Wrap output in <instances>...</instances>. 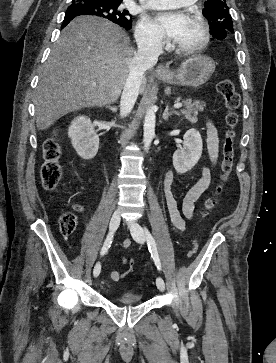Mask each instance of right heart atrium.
<instances>
[{
    "label": "right heart atrium",
    "instance_id": "obj_1",
    "mask_svg": "<svg viewBox=\"0 0 276 363\" xmlns=\"http://www.w3.org/2000/svg\"><path fill=\"white\" fill-rule=\"evenodd\" d=\"M137 39L140 44L149 47H159L162 37L147 18H143L136 29Z\"/></svg>",
    "mask_w": 276,
    "mask_h": 363
}]
</instances>
